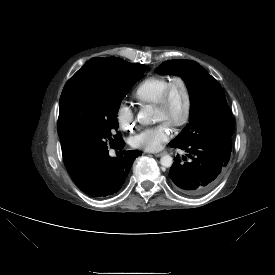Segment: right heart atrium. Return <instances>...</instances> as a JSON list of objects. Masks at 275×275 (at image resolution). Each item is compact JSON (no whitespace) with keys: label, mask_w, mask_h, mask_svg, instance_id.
I'll return each instance as SVG.
<instances>
[{"label":"right heart atrium","mask_w":275,"mask_h":275,"mask_svg":"<svg viewBox=\"0 0 275 275\" xmlns=\"http://www.w3.org/2000/svg\"><path fill=\"white\" fill-rule=\"evenodd\" d=\"M134 117L133 109L126 102L119 103L115 112V119L122 130H130L132 128Z\"/></svg>","instance_id":"d8ad5b80"}]
</instances>
